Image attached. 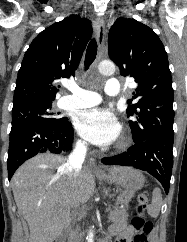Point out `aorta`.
I'll list each match as a JSON object with an SVG mask.
<instances>
[{
	"instance_id": "obj_1",
	"label": "aorta",
	"mask_w": 187,
	"mask_h": 242,
	"mask_svg": "<svg viewBox=\"0 0 187 242\" xmlns=\"http://www.w3.org/2000/svg\"><path fill=\"white\" fill-rule=\"evenodd\" d=\"M98 71L103 75H112L115 72V65L111 61H102L98 65ZM88 242H93V232H90Z\"/></svg>"
}]
</instances>
